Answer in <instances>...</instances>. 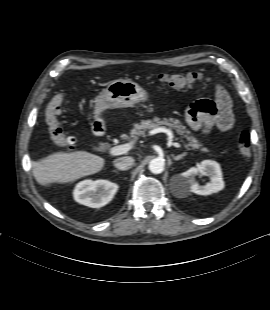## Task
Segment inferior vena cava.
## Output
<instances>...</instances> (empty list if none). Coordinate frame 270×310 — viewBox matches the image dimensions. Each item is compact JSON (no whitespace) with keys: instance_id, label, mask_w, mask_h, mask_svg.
Listing matches in <instances>:
<instances>
[{"instance_id":"obj_1","label":"inferior vena cava","mask_w":270,"mask_h":310,"mask_svg":"<svg viewBox=\"0 0 270 310\" xmlns=\"http://www.w3.org/2000/svg\"><path fill=\"white\" fill-rule=\"evenodd\" d=\"M134 164V159L130 156L120 157L114 160V166L119 170H128Z\"/></svg>"}]
</instances>
